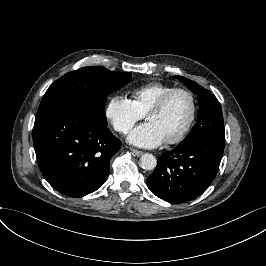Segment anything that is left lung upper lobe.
<instances>
[{"label":"left lung upper lobe","mask_w":266,"mask_h":266,"mask_svg":"<svg viewBox=\"0 0 266 266\" xmlns=\"http://www.w3.org/2000/svg\"><path fill=\"white\" fill-rule=\"evenodd\" d=\"M176 77L192 92L198 94L200 106L197 123L179 145H185L199 138L208 136L225 138L222 109L217 98L196 82L182 76Z\"/></svg>","instance_id":"obj_1"}]
</instances>
